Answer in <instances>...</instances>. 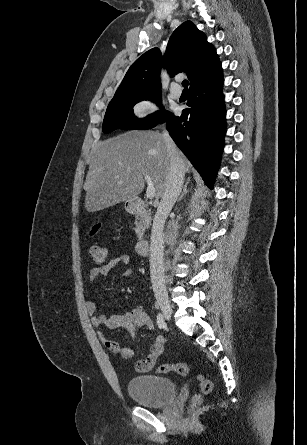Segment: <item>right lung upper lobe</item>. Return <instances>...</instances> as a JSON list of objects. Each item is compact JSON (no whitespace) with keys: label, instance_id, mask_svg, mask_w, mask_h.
I'll list each match as a JSON object with an SVG mask.
<instances>
[{"label":"right lung upper lobe","instance_id":"right-lung-upper-lobe-1","mask_svg":"<svg viewBox=\"0 0 307 445\" xmlns=\"http://www.w3.org/2000/svg\"><path fill=\"white\" fill-rule=\"evenodd\" d=\"M219 64L206 35L186 21L170 37L164 58L158 48H152L131 65L112 100L161 93L162 65L171 76L186 72L191 85Z\"/></svg>","mask_w":307,"mask_h":445}]
</instances>
